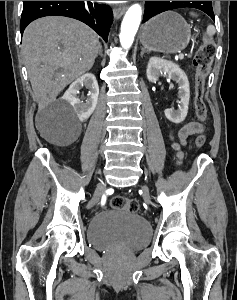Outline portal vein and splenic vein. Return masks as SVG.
<instances>
[{"label":"portal vein and splenic vein","instance_id":"obj_1","mask_svg":"<svg viewBox=\"0 0 237 300\" xmlns=\"http://www.w3.org/2000/svg\"><path fill=\"white\" fill-rule=\"evenodd\" d=\"M182 55H183V52H180V53H179V56H180V57H179V61H182V59L184 58Z\"/></svg>","mask_w":237,"mask_h":300}]
</instances>
